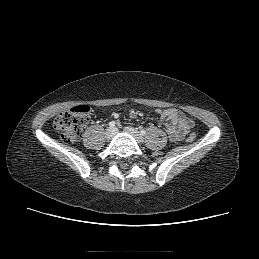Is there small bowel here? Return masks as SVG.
Returning a JSON list of instances; mask_svg holds the SVG:
<instances>
[{"label":"small bowel","instance_id":"c3829d8e","mask_svg":"<svg viewBox=\"0 0 259 259\" xmlns=\"http://www.w3.org/2000/svg\"><path fill=\"white\" fill-rule=\"evenodd\" d=\"M159 125L163 126L172 141H180L193 128L194 122L185 113L175 108L156 109Z\"/></svg>","mask_w":259,"mask_h":259}]
</instances>
